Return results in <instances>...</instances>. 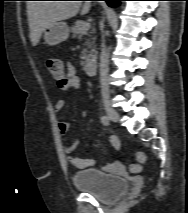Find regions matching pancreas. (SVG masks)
Returning <instances> with one entry per match:
<instances>
[{"label": "pancreas", "instance_id": "pancreas-1", "mask_svg": "<svg viewBox=\"0 0 188 213\" xmlns=\"http://www.w3.org/2000/svg\"><path fill=\"white\" fill-rule=\"evenodd\" d=\"M86 22H84V21H81V20H79V21H76L75 23H74V25L71 27V32H72V34H73V37H77V38H81L82 37V35H84V36H88V34H89V32H88V30L87 31H85V32H83L82 31V27H83V25L85 24ZM90 33H92V32H90ZM87 41H86V43H85V45L86 46H88V47H91V45H92V43L93 42H89V39H86ZM95 52V49H93L91 52H90V54H88V55H86V53H87V50L86 49H84L83 51H82V56H81V64L82 65H84L87 61H89V59L92 57V56H94V53Z\"/></svg>", "mask_w": 188, "mask_h": 213}]
</instances>
